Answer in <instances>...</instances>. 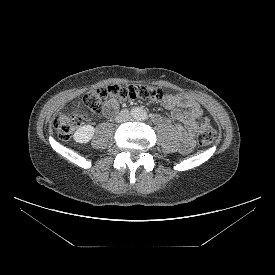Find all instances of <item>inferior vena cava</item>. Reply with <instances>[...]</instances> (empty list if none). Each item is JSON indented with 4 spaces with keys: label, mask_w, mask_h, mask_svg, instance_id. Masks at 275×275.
Masks as SVG:
<instances>
[{
    "label": "inferior vena cava",
    "mask_w": 275,
    "mask_h": 275,
    "mask_svg": "<svg viewBox=\"0 0 275 275\" xmlns=\"http://www.w3.org/2000/svg\"><path fill=\"white\" fill-rule=\"evenodd\" d=\"M130 119V113L128 110L124 109L122 110L115 118V121L117 123L126 122Z\"/></svg>",
    "instance_id": "1"
}]
</instances>
